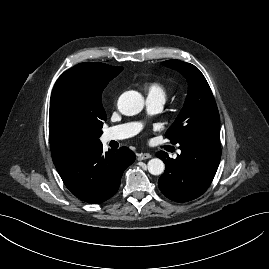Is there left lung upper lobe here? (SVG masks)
<instances>
[{"instance_id": "obj_1", "label": "left lung upper lobe", "mask_w": 269, "mask_h": 269, "mask_svg": "<svg viewBox=\"0 0 269 269\" xmlns=\"http://www.w3.org/2000/svg\"><path fill=\"white\" fill-rule=\"evenodd\" d=\"M163 64L182 73L188 81L184 106L165 136L173 144H186L198 136L220 135V117L211 89L198 68L180 60Z\"/></svg>"}]
</instances>
